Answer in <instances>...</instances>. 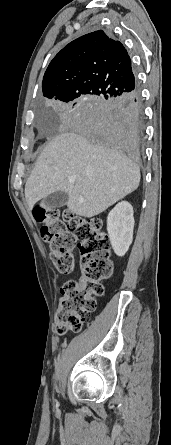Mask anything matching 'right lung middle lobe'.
Wrapping results in <instances>:
<instances>
[{
  "mask_svg": "<svg viewBox=\"0 0 171 445\" xmlns=\"http://www.w3.org/2000/svg\"><path fill=\"white\" fill-rule=\"evenodd\" d=\"M104 96L96 92H81L70 94L62 99L63 102L69 103L75 100H81L83 102V112L80 115L85 121L91 122L92 112L96 106L103 100ZM76 103H74L75 105Z\"/></svg>",
  "mask_w": 171,
  "mask_h": 445,
  "instance_id": "obj_1",
  "label": "right lung middle lobe"
}]
</instances>
